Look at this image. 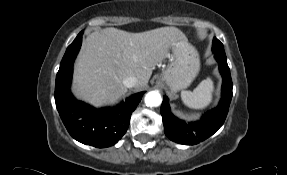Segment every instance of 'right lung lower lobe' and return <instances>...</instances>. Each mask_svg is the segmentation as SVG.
I'll use <instances>...</instances> for the list:
<instances>
[{
  "mask_svg": "<svg viewBox=\"0 0 287 175\" xmlns=\"http://www.w3.org/2000/svg\"><path fill=\"white\" fill-rule=\"evenodd\" d=\"M80 32L68 46L61 61L55 84V103L69 134L77 141L105 148L119 141L128 129L130 116L144 92L129 97L118 108L95 109L78 101L70 91L73 63L82 43Z\"/></svg>",
  "mask_w": 287,
  "mask_h": 175,
  "instance_id": "obj_1",
  "label": "right lung lower lobe"
}]
</instances>
